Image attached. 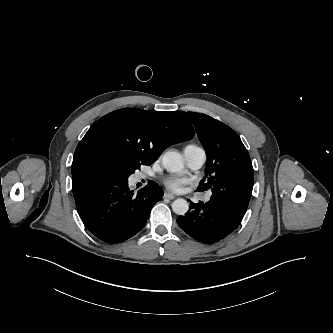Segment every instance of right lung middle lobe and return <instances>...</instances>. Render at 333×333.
<instances>
[{"mask_svg":"<svg viewBox=\"0 0 333 333\" xmlns=\"http://www.w3.org/2000/svg\"><path fill=\"white\" fill-rule=\"evenodd\" d=\"M86 168L92 169L109 178L128 179L129 175L135 172L136 169H139L140 166H123L108 158L94 157L88 160Z\"/></svg>","mask_w":333,"mask_h":333,"instance_id":"obj_1","label":"right lung middle lobe"}]
</instances>
